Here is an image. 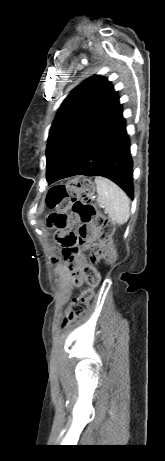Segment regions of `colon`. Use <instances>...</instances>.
Segmentation results:
<instances>
[{
  "label": "colon",
  "instance_id": "5ec220e1",
  "mask_svg": "<svg viewBox=\"0 0 165 461\" xmlns=\"http://www.w3.org/2000/svg\"><path fill=\"white\" fill-rule=\"evenodd\" d=\"M92 188V183L87 178L74 179L52 187L47 193L46 205L54 211L48 216L47 223L50 227L64 229L72 218H78L84 225H96L98 245L93 260H99L112 254L115 227L109 219L98 213L92 204ZM55 260L54 257L51 259L52 262ZM83 274L88 288L72 298L63 318V327L76 322L86 313L94 290L100 283V274L92 264L86 263L83 266Z\"/></svg>",
  "mask_w": 165,
  "mask_h": 461
}]
</instances>
